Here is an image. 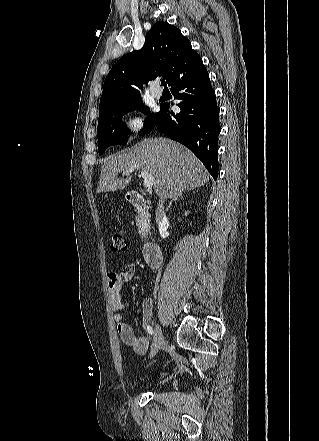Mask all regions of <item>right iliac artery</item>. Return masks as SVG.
Wrapping results in <instances>:
<instances>
[{
  "label": "right iliac artery",
  "mask_w": 319,
  "mask_h": 441,
  "mask_svg": "<svg viewBox=\"0 0 319 441\" xmlns=\"http://www.w3.org/2000/svg\"><path fill=\"white\" fill-rule=\"evenodd\" d=\"M147 331H148V333H149L150 335L153 334V329H152V327H151L150 325L147 326Z\"/></svg>",
  "instance_id": "right-iliac-artery-1"
}]
</instances>
